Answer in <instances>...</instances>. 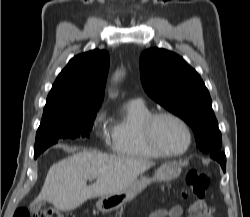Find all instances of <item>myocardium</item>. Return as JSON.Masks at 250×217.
Masks as SVG:
<instances>
[{
  "mask_svg": "<svg viewBox=\"0 0 250 217\" xmlns=\"http://www.w3.org/2000/svg\"><path fill=\"white\" fill-rule=\"evenodd\" d=\"M160 119H171L180 124L185 130L188 138L187 145L180 151H169L161 146L156 137V125ZM142 130L148 145L161 157H176L185 154L192 145V132L187 122L180 116L169 111H157L151 113L143 122Z\"/></svg>",
  "mask_w": 250,
  "mask_h": 217,
  "instance_id": "obj_1",
  "label": "myocardium"
}]
</instances>
